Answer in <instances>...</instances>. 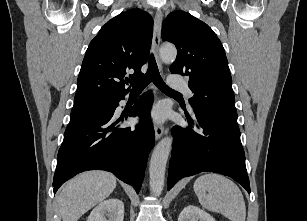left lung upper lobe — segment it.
Here are the masks:
<instances>
[{
	"label": "left lung upper lobe",
	"mask_w": 307,
	"mask_h": 221,
	"mask_svg": "<svg viewBox=\"0 0 307 221\" xmlns=\"http://www.w3.org/2000/svg\"><path fill=\"white\" fill-rule=\"evenodd\" d=\"M162 39L176 45L177 58L170 71L189 77L193 110L239 128L227 58L213 30L189 13L175 11L163 21Z\"/></svg>",
	"instance_id": "1"
}]
</instances>
